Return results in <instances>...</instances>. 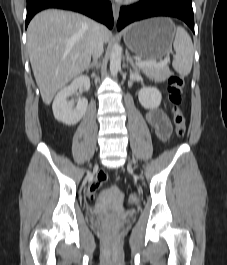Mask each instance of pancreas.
<instances>
[{"instance_id": "pancreas-1", "label": "pancreas", "mask_w": 227, "mask_h": 265, "mask_svg": "<svg viewBox=\"0 0 227 265\" xmlns=\"http://www.w3.org/2000/svg\"><path fill=\"white\" fill-rule=\"evenodd\" d=\"M141 69L147 77L157 82H163L172 75L167 65L163 67H141Z\"/></svg>"}]
</instances>
